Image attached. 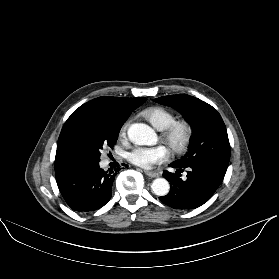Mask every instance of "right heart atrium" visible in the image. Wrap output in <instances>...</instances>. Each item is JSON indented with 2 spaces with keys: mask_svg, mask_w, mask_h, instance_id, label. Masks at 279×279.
<instances>
[{
  "mask_svg": "<svg viewBox=\"0 0 279 279\" xmlns=\"http://www.w3.org/2000/svg\"><path fill=\"white\" fill-rule=\"evenodd\" d=\"M130 125H131V118H128V119H126V120L123 122V124H122V126H121V128H120V135H121L122 137L126 136L127 130H128V128H129Z\"/></svg>",
  "mask_w": 279,
  "mask_h": 279,
  "instance_id": "right-heart-atrium-1",
  "label": "right heart atrium"
}]
</instances>
